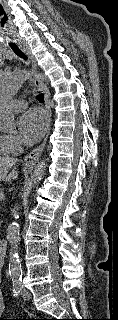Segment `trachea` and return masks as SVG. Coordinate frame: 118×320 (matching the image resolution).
I'll return each instance as SVG.
<instances>
[{"label":"trachea","instance_id":"trachea-1","mask_svg":"<svg viewBox=\"0 0 118 320\" xmlns=\"http://www.w3.org/2000/svg\"><path fill=\"white\" fill-rule=\"evenodd\" d=\"M11 48H12V50H13L18 56H20L21 58L26 59V57L24 56V54L18 49L17 46L12 45ZM37 99H38L39 102H44V96H43V94H39V95L37 96Z\"/></svg>","mask_w":118,"mask_h":320}]
</instances>
